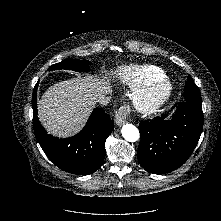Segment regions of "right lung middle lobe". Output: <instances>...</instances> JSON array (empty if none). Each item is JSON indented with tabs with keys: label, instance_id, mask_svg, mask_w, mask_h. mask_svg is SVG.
<instances>
[{
	"label": "right lung middle lobe",
	"instance_id": "right-lung-middle-lobe-1",
	"mask_svg": "<svg viewBox=\"0 0 221 221\" xmlns=\"http://www.w3.org/2000/svg\"><path fill=\"white\" fill-rule=\"evenodd\" d=\"M90 62L82 60H64L60 63L50 66L49 70L68 69L73 71H84L89 68Z\"/></svg>",
	"mask_w": 221,
	"mask_h": 221
}]
</instances>
